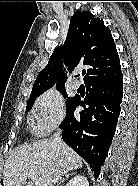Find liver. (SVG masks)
<instances>
[{
  "label": "liver",
  "mask_w": 138,
  "mask_h": 186,
  "mask_svg": "<svg viewBox=\"0 0 138 186\" xmlns=\"http://www.w3.org/2000/svg\"><path fill=\"white\" fill-rule=\"evenodd\" d=\"M82 166V158L68 145L62 143L55 147L51 140L43 139L18 147L9 155L3 172V185L33 186L26 179L28 173L34 172L46 186H54L62 175Z\"/></svg>",
  "instance_id": "liver-1"
}]
</instances>
